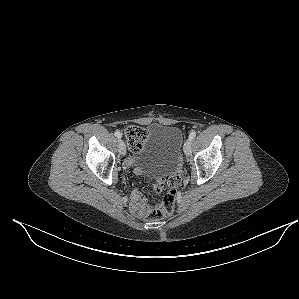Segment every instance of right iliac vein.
Returning <instances> with one entry per match:
<instances>
[{
    "instance_id": "63e3f726",
    "label": "right iliac vein",
    "mask_w": 299,
    "mask_h": 299,
    "mask_svg": "<svg viewBox=\"0 0 299 299\" xmlns=\"http://www.w3.org/2000/svg\"><path fill=\"white\" fill-rule=\"evenodd\" d=\"M118 148L121 155H124L126 153V145L123 140L118 141Z\"/></svg>"
}]
</instances>
